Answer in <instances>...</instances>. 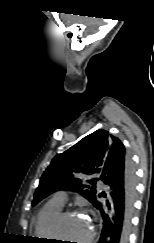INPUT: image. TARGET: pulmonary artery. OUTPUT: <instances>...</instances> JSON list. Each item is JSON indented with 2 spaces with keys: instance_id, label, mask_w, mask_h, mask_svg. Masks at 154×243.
Wrapping results in <instances>:
<instances>
[{
  "instance_id": "1",
  "label": "pulmonary artery",
  "mask_w": 154,
  "mask_h": 243,
  "mask_svg": "<svg viewBox=\"0 0 154 243\" xmlns=\"http://www.w3.org/2000/svg\"><path fill=\"white\" fill-rule=\"evenodd\" d=\"M98 185L100 187L103 186L102 182H98ZM52 201L64 206L66 200H67V196L66 193L64 191H57L56 193H54L52 199Z\"/></svg>"
}]
</instances>
